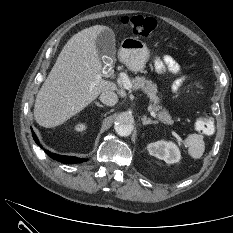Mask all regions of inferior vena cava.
<instances>
[{"label":"inferior vena cava","mask_w":233,"mask_h":233,"mask_svg":"<svg viewBox=\"0 0 233 233\" xmlns=\"http://www.w3.org/2000/svg\"><path fill=\"white\" fill-rule=\"evenodd\" d=\"M100 101L107 106H114L118 102V96L113 91H104L100 95Z\"/></svg>","instance_id":"obj_1"}]
</instances>
